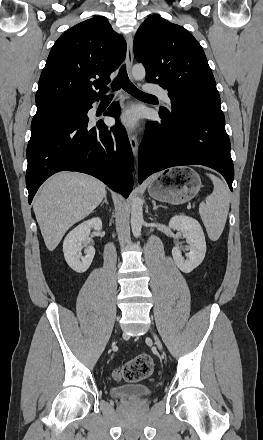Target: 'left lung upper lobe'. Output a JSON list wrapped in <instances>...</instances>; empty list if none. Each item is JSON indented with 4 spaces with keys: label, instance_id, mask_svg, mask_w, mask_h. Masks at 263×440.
Masks as SVG:
<instances>
[{
    "label": "left lung upper lobe",
    "instance_id": "1",
    "mask_svg": "<svg viewBox=\"0 0 263 440\" xmlns=\"http://www.w3.org/2000/svg\"><path fill=\"white\" fill-rule=\"evenodd\" d=\"M134 56L146 68V80L168 90L172 109L220 107L216 82L199 42L183 27L148 17L134 39ZM160 111L169 114L166 108Z\"/></svg>",
    "mask_w": 263,
    "mask_h": 440
}]
</instances>
